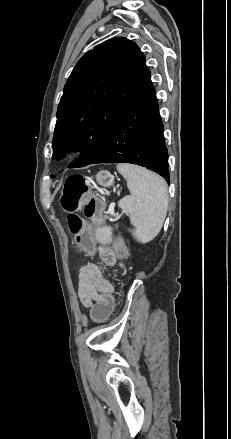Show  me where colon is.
Segmentation results:
<instances>
[{
	"label": "colon",
	"instance_id": "colon-1",
	"mask_svg": "<svg viewBox=\"0 0 231 439\" xmlns=\"http://www.w3.org/2000/svg\"><path fill=\"white\" fill-rule=\"evenodd\" d=\"M85 178L81 175L69 177L63 187L61 195V205L68 212L67 223L70 233L74 236L77 245L85 253V260L90 262L97 258V251L94 249L93 232L85 225V221L77 214V211L83 209L87 218L92 219L98 226L107 224L100 202L91 198L84 201L86 193ZM118 251L120 257H125L126 250L124 244L118 242ZM103 295H98L97 302L90 310V317L94 323H105L112 317L116 310L117 295L111 291H103Z\"/></svg>",
	"mask_w": 231,
	"mask_h": 439
}]
</instances>
